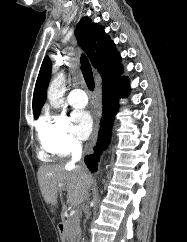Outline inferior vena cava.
<instances>
[{"label":"inferior vena cava","instance_id":"1","mask_svg":"<svg viewBox=\"0 0 187 242\" xmlns=\"http://www.w3.org/2000/svg\"><path fill=\"white\" fill-rule=\"evenodd\" d=\"M82 156V145L79 141H75L72 145V160L70 165H74L81 159Z\"/></svg>","mask_w":187,"mask_h":242}]
</instances>
